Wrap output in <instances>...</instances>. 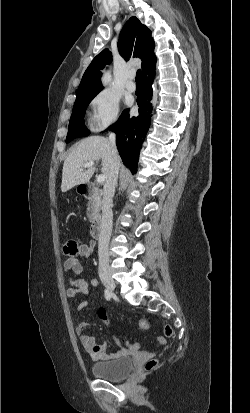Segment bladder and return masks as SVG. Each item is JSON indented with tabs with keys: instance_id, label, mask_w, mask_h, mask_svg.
<instances>
[{
	"instance_id": "obj_1",
	"label": "bladder",
	"mask_w": 250,
	"mask_h": 413,
	"mask_svg": "<svg viewBox=\"0 0 250 413\" xmlns=\"http://www.w3.org/2000/svg\"><path fill=\"white\" fill-rule=\"evenodd\" d=\"M134 367V359L130 355H121L109 361L98 362L92 365L91 370L95 377L104 380H120L125 378Z\"/></svg>"
}]
</instances>
